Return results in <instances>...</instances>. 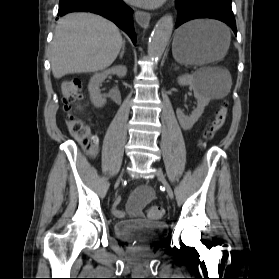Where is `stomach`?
<instances>
[{
    "instance_id": "obj_1",
    "label": "stomach",
    "mask_w": 279,
    "mask_h": 279,
    "mask_svg": "<svg viewBox=\"0 0 279 279\" xmlns=\"http://www.w3.org/2000/svg\"><path fill=\"white\" fill-rule=\"evenodd\" d=\"M230 45L226 27L210 20H196L180 27L174 36V59L185 65H202L224 57Z\"/></svg>"
}]
</instances>
